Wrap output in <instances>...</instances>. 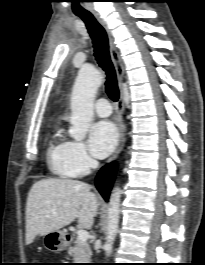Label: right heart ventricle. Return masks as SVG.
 I'll return each instance as SVG.
<instances>
[{"instance_id": "right-heart-ventricle-1", "label": "right heart ventricle", "mask_w": 205, "mask_h": 265, "mask_svg": "<svg viewBox=\"0 0 205 265\" xmlns=\"http://www.w3.org/2000/svg\"><path fill=\"white\" fill-rule=\"evenodd\" d=\"M68 145L69 141L63 137L61 130L58 129L51 136L46 150L49 169L54 174L63 178H71L75 176L69 170L66 163Z\"/></svg>"}]
</instances>
